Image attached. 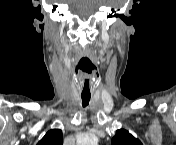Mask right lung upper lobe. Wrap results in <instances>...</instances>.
<instances>
[{
  "instance_id": "cb5924a9",
  "label": "right lung upper lobe",
  "mask_w": 176,
  "mask_h": 145,
  "mask_svg": "<svg viewBox=\"0 0 176 145\" xmlns=\"http://www.w3.org/2000/svg\"><path fill=\"white\" fill-rule=\"evenodd\" d=\"M62 131L60 129H52L38 142V145H62Z\"/></svg>"
}]
</instances>
